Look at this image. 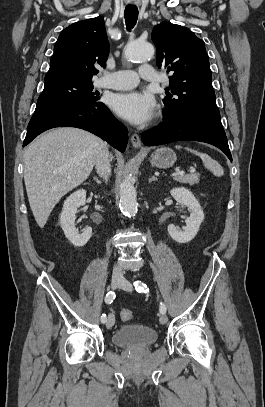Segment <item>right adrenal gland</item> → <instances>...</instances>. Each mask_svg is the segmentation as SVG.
Returning a JSON list of instances; mask_svg holds the SVG:
<instances>
[{"label":"right adrenal gland","mask_w":265,"mask_h":407,"mask_svg":"<svg viewBox=\"0 0 265 407\" xmlns=\"http://www.w3.org/2000/svg\"><path fill=\"white\" fill-rule=\"evenodd\" d=\"M94 180H95V182H96L97 184H101V181H100L97 177H94Z\"/></svg>","instance_id":"obj_1"}]
</instances>
